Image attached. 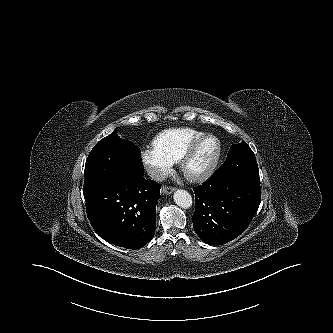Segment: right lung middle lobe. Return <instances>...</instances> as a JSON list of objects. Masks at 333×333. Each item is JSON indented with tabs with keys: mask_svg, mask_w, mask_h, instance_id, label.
Here are the masks:
<instances>
[{
	"mask_svg": "<svg viewBox=\"0 0 333 333\" xmlns=\"http://www.w3.org/2000/svg\"><path fill=\"white\" fill-rule=\"evenodd\" d=\"M83 188L111 179L142 174L141 151L132 141L117 136V128L91 150L85 164Z\"/></svg>",
	"mask_w": 333,
	"mask_h": 333,
	"instance_id": "dd1d6c3e",
	"label": "right lung middle lobe"
}]
</instances>
